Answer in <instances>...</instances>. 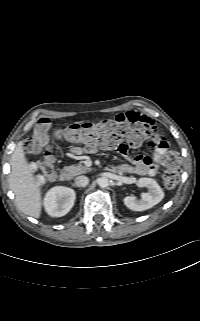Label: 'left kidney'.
<instances>
[{
	"mask_svg": "<svg viewBox=\"0 0 200 321\" xmlns=\"http://www.w3.org/2000/svg\"><path fill=\"white\" fill-rule=\"evenodd\" d=\"M137 184L139 187H146L148 192L142 193L140 200L134 196L125 197L123 201L129 209L133 211H144L152 208L164 198L163 190L154 179L143 177L138 180Z\"/></svg>",
	"mask_w": 200,
	"mask_h": 321,
	"instance_id": "obj_1",
	"label": "left kidney"
}]
</instances>
